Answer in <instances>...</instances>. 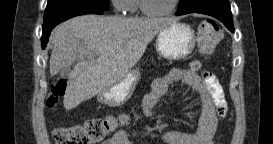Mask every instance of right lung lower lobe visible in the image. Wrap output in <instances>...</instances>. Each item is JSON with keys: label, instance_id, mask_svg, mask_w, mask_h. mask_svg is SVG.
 I'll list each match as a JSON object with an SVG mask.
<instances>
[{"label": "right lung lower lobe", "instance_id": "98d812e1", "mask_svg": "<svg viewBox=\"0 0 273 144\" xmlns=\"http://www.w3.org/2000/svg\"><path fill=\"white\" fill-rule=\"evenodd\" d=\"M104 11H105L104 9H101L95 6L68 7V8H64V9L56 11L49 18V20L43 24L42 37H41L42 48L44 49L46 47L50 33L57 24L69 18H72L74 16L84 15V14H103Z\"/></svg>", "mask_w": 273, "mask_h": 144}]
</instances>
